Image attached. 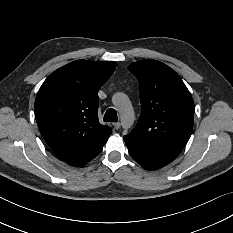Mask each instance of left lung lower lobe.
I'll use <instances>...</instances> for the list:
<instances>
[{"instance_id":"obj_1","label":"left lung lower lobe","mask_w":233,"mask_h":233,"mask_svg":"<svg viewBox=\"0 0 233 233\" xmlns=\"http://www.w3.org/2000/svg\"><path fill=\"white\" fill-rule=\"evenodd\" d=\"M131 157L146 170H157L172 162L176 156L163 153L137 140L124 136Z\"/></svg>"}]
</instances>
